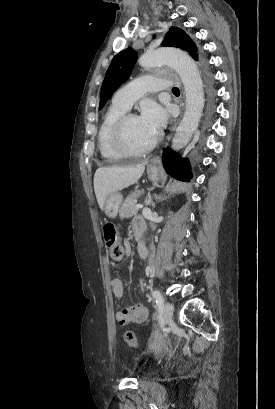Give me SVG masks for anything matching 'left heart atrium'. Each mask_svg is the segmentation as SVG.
Wrapping results in <instances>:
<instances>
[{
    "mask_svg": "<svg viewBox=\"0 0 275 409\" xmlns=\"http://www.w3.org/2000/svg\"><path fill=\"white\" fill-rule=\"evenodd\" d=\"M140 119L145 127L154 135H157L162 130L167 121L165 112L155 103H147L143 106Z\"/></svg>",
    "mask_w": 275,
    "mask_h": 409,
    "instance_id": "left-heart-atrium-1",
    "label": "left heart atrium"
}]
</instances>
